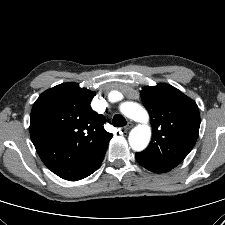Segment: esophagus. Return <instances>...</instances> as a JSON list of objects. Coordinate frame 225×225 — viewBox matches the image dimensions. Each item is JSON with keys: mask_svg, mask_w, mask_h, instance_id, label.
I'll return each mask as SVG.
<instances>
[{"mask_svg": "<svg viewBox=\"0 0 225 225\" xmlns=\"http://www.w3.org/2000/svg\"><path fill=\"white\" fill-rule=\"evenodd\" d=\"M132 127H133V123L129 122V123L124 127V131L127 132V131H129Z\"/></svg>", "mask_w": 225, "mask_h": 225, "instance_id": "34e87169", "label": "esophagus"}]
</instances>
